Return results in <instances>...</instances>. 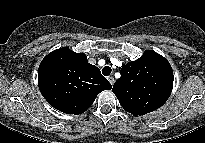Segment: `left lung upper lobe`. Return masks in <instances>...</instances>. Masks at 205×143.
Listing matches in <instances>:
<instances>
[{"label": "left lung upper lobe", "mask_w": 205, "mask_h": 143, "mask_svg": "<svg viewBox=\"0 0 205 143\" xmlns=\"http://www.w3.org/2000/svg\"><path fill=\"white\" fill-rule=\"evenodd\" d=\"M112 91L121 106L138 116L161 107L173 88L169 62L154 51H145L136 61L124 65Z\"/></svg>", "instance_id": "1"}]
</instances>
